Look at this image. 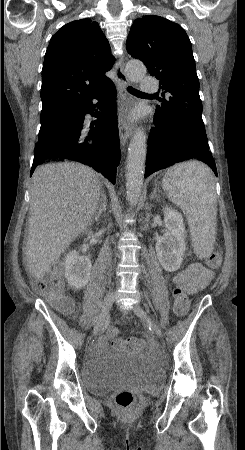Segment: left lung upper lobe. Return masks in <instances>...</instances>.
I'll use <instances>...</instances> for the list:
<instances>
[{"instance_id": "obj_1", "label": "left lung upper lobe", "mask_w": 245, "mask_h": 450, "mask_svg": "<svg viewBox=\"0 0 245 450\" xmlns=\"http://www.w3.org/2000/svg\"><path fill=\"white\" fill-rule=\"evenodd\" d=\"M126 48L160 80L161 89L170 93L156 106V113L207 138L195 60L184 29L159 16H143L131 26Z\"/></svg>"}]
</instances>
